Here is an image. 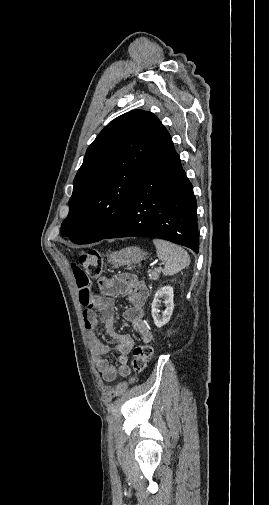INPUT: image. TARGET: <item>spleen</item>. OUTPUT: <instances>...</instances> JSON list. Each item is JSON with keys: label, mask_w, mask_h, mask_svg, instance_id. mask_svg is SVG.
I'll return each instance as SVG.
<instances>
[{"label": "spleen", "mask_w": 269, "mask_h": 505, "mask_svg": "<svg viewBox=\"0 0 269 505\" xmlns=\"http://www.w3.org/2000/svg\"><path fill=\"white\" fill-rule=\"evenodd\" d=\"M153 244L158 258L165 262V275H174L189 266L190 257L181 246L162 239H154Z\"/></svg>", "instance_id": "1"}]
</instances>
